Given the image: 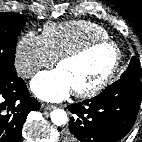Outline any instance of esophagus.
<instances>
[{"instance_id":"esophagus-1","label":"esophagus","mask_w":142,"mask_h":142,"mask_svg":"<svg viewBox=\"0 0 142 142\" xmlns=\"http://www.w3.org/2000/svg\"><path fill=\"white\" fill-rule=\"evenodd\" d=\"M54 108H55V106L51 105V104H46V103L41 104L42 110H51V109H54Z\"/></svg>"}]
</instances>
